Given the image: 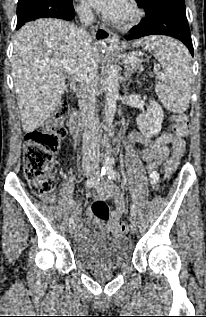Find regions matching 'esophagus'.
I'll list each match as a JSON object with an SVG mask.
<instances>
[{"label": "esophagus", "instance_id": "34e87169", "mask_svg": "<svg viewBox=\"0 0 206 317\" xmlns=\"http://www.w3.org/2000/svg\"><path fill=\"white\" fill-rule=\"evenodd\" d=\"M94 36L99 40L101 44L109 41H117L115 35H113L109 29L104 25L97 27L94 31Z\"/></svg>", "mask_w": 206, "mask_h": 317}]
</instances>
